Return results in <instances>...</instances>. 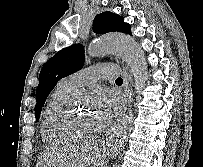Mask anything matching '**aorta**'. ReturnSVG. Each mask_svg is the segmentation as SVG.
<instances>
[{
	"instance_id": "obj_1",
	"label": "aorta",
	"mask_w": 203,
	"mask_h": 167,
	"mask_svg": "<svg viewBox=\"0 0 203 167\" xmlns=\"http://www.w3.org/2000/svg\"><path fill=\"white\" fill-rule=\"evenodd\" d=\"M87 54L92 58L103 57L108 54L121 56L129 65L134 76L136 92L140 93L144 88L148 80V65L144 51L133 38L121 34L102 35L89 44ZM132 126L133 116L129 113L112 129L106 139L105 153L107 158H115L122 151Z\"/></svg>"
}]
</instances>
